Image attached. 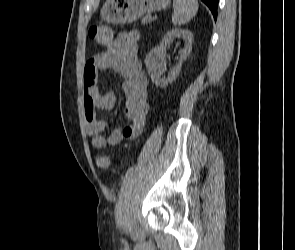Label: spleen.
I'll return each mask as SVG.
<instances>
[{
    "label": "spleen",
    "mask_w": 295,
    "mask_h": 250,
    "mask_svg": "<svg viewBox=\"0 0 295 250\" xmlns=\"http://www.w3.org/2000/svg\"><path fill=\"white\" fill-rule=\"evenodd\" d=\"M198 11L197 0H175L172 23L183 25L189 22Z\"/></svg>",
    "instance_id": "1"
}]
</instances>
